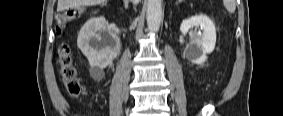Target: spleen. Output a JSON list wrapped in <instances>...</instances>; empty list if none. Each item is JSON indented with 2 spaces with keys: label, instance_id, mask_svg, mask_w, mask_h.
I'll list each match as a JSON object with an SVG mask.
<instances>
[{
  "label": "spleen",
  "instance_id": "obj_1",
  "mask_svg": "<svg viewBox=\"0 0 283 116\" xmlns=\"http://www.w3.org/2000/svg\"><path fill=\"white\" fill-rule=\"evenodd\" d=\"M223 4L229 13H234L236 9L235 0H224Z\"/></svg>",
  "mask_w": 283,
  "mask_h": 116
}]
</instances>
